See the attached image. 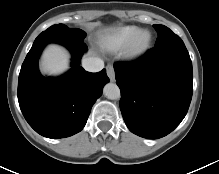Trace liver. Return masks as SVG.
<instances>
[{
  "label": "liver",
  "instance_id": "obj_1",
  "mask_svg": "<svg viewBox=\"0 0 219 174\" xmlns=\"http://www.w3.org/2000/svg\"><path fill=\"white\" fill-rule=\"evenodd\" d=\"M68 55L56 45L49 46L42 58V70L48 74H59L68 68Z\"/></svg>",
  "mask_w": 219,
  "mask_h": 174
}]
</instances>
